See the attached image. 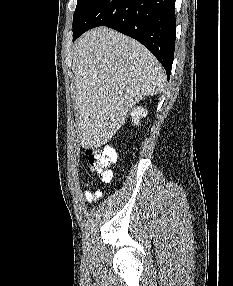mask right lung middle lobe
I'll return each mask as SVG.
<instances>
[{
    "label": "right lung middle lobe",
    "instance_id": "dd1d6c3e",
    "mask_svg": "<svg viewBox=\"0 0 233 286\" xmlns=\"http://www.w3.org/2000/svg\"><path fill=\"white\" fill-rule=\"evenodd\" d=\"M93 0H78L77 6L73 16V27L78 24V22L82 19L88 7L90 6Z\"/></svg>",
    "mask_w": 233,
    "mask_h": 286
}]
</instances>
